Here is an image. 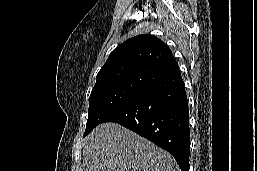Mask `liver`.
Instances as JSON below:
<instances>
[{
	"instance_id": "liver-1",
	"label": "liver",
	"mask_w": 257,
	"mask_h": 171,
	"mask_svg": "<svg viewBox=\"0 0 257 171\" xmlns=\"http://www.w3.org/2000/svg\"><path fill=\"white\" fill-rule=\"evenodd\" d=\"M80 171H180L174 158L116 123L97 126L86 138Z\"/></svg>"
}]
</instances>
